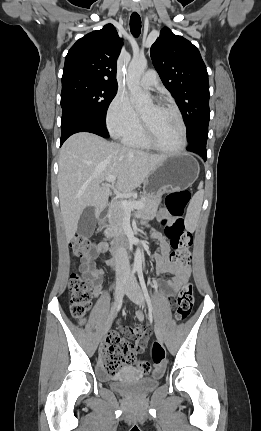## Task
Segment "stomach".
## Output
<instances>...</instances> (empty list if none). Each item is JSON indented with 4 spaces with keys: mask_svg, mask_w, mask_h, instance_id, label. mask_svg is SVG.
Segmentation results:
<instances>
[{
    "mask_svg": "<svg viewBox=\"0 0 261 431\" xmlns=\"http://www.w3.org/2000/svg\"><path fill=\"white\" fill-rule=\"evenodd\" d=\"M199 164L190 154L169 155L149 174L144 182V193L148 197L172 190L186 189L196 181Z\"/></svg>",
    "mask_w": 261,
    "mask_h": 431,
    "instance_id": "0dacf381",
    "label": "stomach"
}]
</instances>
